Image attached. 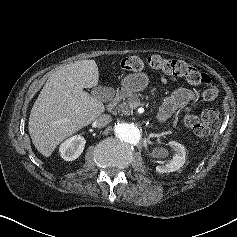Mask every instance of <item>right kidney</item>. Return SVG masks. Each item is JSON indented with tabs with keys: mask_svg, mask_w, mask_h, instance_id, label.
<instances>
[{
	"mask_svg": "<svg viewBox=\"0 0 237 237\" xmlns=\"http://www.w3.org/2000/svg\"><path fill=\"white\" fill-rule=\"evenodd\" d=\"M86 140L80 135H75L65 140L59 147L61 157L65 161L77 159L84 150Z\"/></svg>",
	"mask_w": 237,
	"mask_h": 237,
	"instance_id": "ca27d5eb",
	"label": "right kidney"
}]
</instances>
